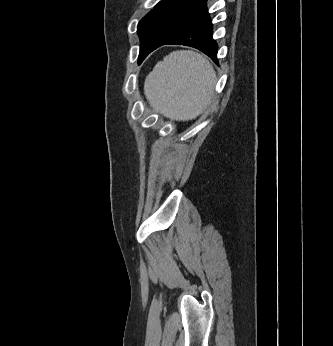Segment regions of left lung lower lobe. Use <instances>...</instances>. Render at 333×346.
<instances>
[{
	"label": "left lung lower lobe",
	"instance_id": "1",
	"mask_svg": "<svg viewBox=\"0 0 333 346\" xmlns=\"http://www.w3.org/2000/svg\"><path fill=\"white\" fill-rule=\"evenodd\" d=\"M167 44L186 45L197 48L208 55L215 63H218V45L213 39V27L207 7L205 6L201 9L171 36L152 45L145 57L156 48Z\"/></svg>",
	"mask_w": 333,
	"mask_h": 346
}]
</instances>
